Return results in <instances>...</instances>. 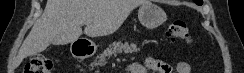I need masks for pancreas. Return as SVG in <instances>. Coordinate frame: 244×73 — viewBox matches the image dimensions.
<instances>
[{"mask_svg":"<svg viewBox=\"0 0 244 73\" xmlns=\"http://www.w3.org/2000/svg\"><path fill=\"white\" fill-rule=\"evenodd\" d=\"M138 51L139 49L134 43H122L121 41L113 42L106 50H104L101 54L97 56L98 61H95V65H104L106 61L112 57V55H117L122 52L128 54Z\"/></svg>","mask_w":244,"mask_h":73,"instance_id":"cf45deb5","label":"pancreas"}]
</instances>
